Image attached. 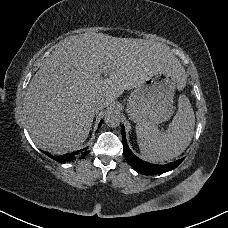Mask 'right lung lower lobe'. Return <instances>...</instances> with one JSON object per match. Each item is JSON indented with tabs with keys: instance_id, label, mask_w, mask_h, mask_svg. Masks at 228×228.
Wrapping results in <instances>:
<instances>
[{
	"instance_id": "right-lung-lower-lobe-1",
	"label": "right lung lower lobe",
	"mask_w": 228,
	"mask_h": 228,
	"mask_svg": "<svg viewBox=\"0 0 228 228\" xmlns=\"http://www.w3.org/2000/svg\"><path fill=\"white\" fill-rule=\"evenodd\" d=\"M102 124V121L100 122L99 126ZM87 148L75 151L73 153H68L60 156H53L47 152H44L46 155H48L50 158L54 159L57 162L64 163V162H69L72 161L76 158H82L85 157L88 154Z\"/></svg>"
}]
</instances>
